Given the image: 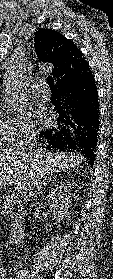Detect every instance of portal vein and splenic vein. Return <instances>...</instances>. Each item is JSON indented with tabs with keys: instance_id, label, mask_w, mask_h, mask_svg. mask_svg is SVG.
I'll use <instances>...</instances> for the list:
<instances>
[{
	"instance_id": "1",
	"label": "portal vein and splenic vein",
	"mask_w": 113,
	"mask_h": 279,
	"mask_svg": "<svg viewBox=\"0 0 113 279\" xmlns=\"http://www.w3.org/2000/svg\"><path fill=\"white\" fill-rule=\"evenodd\" d=\"M16 189H17V195H19L20 197L24 196V190H25L24 186L20 185Z\"/></svg>"
}]
</instances>
